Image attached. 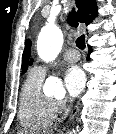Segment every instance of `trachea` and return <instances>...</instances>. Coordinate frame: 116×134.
<instances>
[{
	"label": "trachea",
	"instance_id": "3493384b",
	"mask_svg": "<svg viewBox=\"0 0 116 134\" xmlns=\"http://www.w3.org/2000/svg\"><path fill=\"white\" fill-rule=\"evenodd\" d=\"M76 46L79 49H82V50L85 49L86 45H85V36L84 35H81L80 37L77 38Z\"/></svg>",
	"mask_w": 116,
	"mask_h": 134
}]
</instances>
